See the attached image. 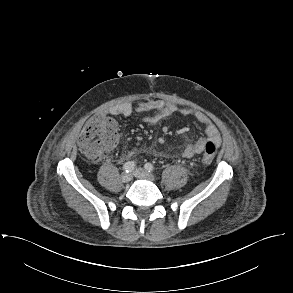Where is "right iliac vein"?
Here are the masks:
<instances>
[{"label":"right iliac vein","mask_w":293,"mask_h":293,"mask_svg":"<svg viewBox=\"0 0 293 293\" xmlns=\"http://www.w3.org/2000/svg\"><path fill=\"white\" fill-rule=\"evenodd\" d=\"M133 176L130 173H123L121 179L124 183H129L132 180Z\"/></svg>","instance_id":"obj_1"}]
</instances>
